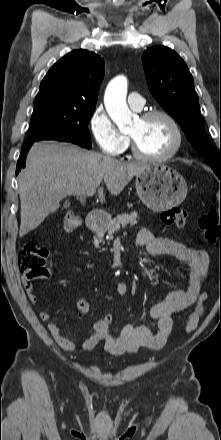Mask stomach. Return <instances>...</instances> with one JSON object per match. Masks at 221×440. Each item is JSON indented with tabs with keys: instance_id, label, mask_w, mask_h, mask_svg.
Listing matches in <instances>:
<instances>
[{
	"instance_id": "stomach-1",
	"label": "stomach",
	"mask_w": 221,
	"mask_h": 440,
	"mask_svg": "<svg viewBox=\"0 0 221 440\" xmlns=\"http://www.w3.org/2000/svg\"><path fill=\"white\" fill-rule=\"evenodd\" d=\"M136 192L151 210L161 212L181 204L187 195V184L175 169L163 165H149L136 175Z\"/></svg>"
}]
</instances>
